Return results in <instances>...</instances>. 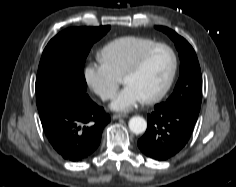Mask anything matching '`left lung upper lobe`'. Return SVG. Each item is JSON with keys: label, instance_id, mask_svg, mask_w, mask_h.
Listing matches in <instances>:
<instances>
[{"label": "left lung upper lobe", "instance_id": "obj_1", "mask_svg": "<svg viewBox=\"0 0 236 187\" xmlns=\"http://www.w3.org/2000/svg\"><path fill=\"white\" fill-rule=\"evenodd\" d=\"M166 33L173 41L179 52L180 76L173 94L162 103L169 108H189L197 113L201 106L202 75L196 53L192 46L173 30L156 26Z\"/></svg>", "mask_w": 236, "mask_h": 187}]
</instances>
